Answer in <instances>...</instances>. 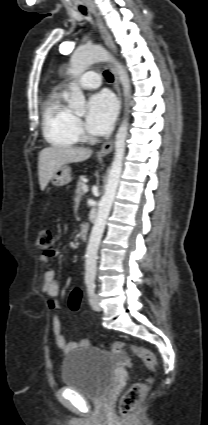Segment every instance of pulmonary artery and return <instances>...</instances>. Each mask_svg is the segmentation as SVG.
Instances as JSON below:
<instances>
[{"label": "pulmonary artery", "mask_w": 208, "mask_h": 425, "mask_svg": "<svg viewBox=\"0 0 208 425\" xmlns=\"http://www.w3.org/2000/svg\"><path fill=\"white\" fill-rule=\"evenodd\" d=\"M101 84L99 75L94 71L85 73L79 80V85L84 89H94Z\"/></svg>", "instance_id": "1"}]
</instances>
